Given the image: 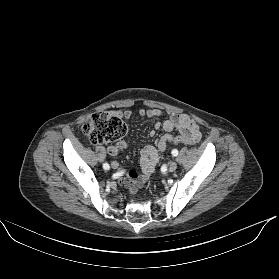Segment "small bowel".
Returning <instances> with one entry per match:
<instances>
[{"label": "small bowel", "mask_w": 279, "mask_h": 279, "mask_svg": "<svg viewBox=\"0 0 279 279\" xmlns=\"http://www.w3.org/2000/svg\"><path fill=\"white\" fill-rule=\"evenodd\" d=\"M118 115L128 120L132 117L133 112L126 109L124 111H119ZM139 115L148 118H159L161 112L154 108H142L139 110ZM159 129H162L164 134L157 140L156 144L148 145L141 151V172L131 170L126 175H123L121 172L119 173L120 183L128 188L131 193H136L137 190L147 182L150 175L155 170L160 155L166 150L167 144L173 143L177 136L187 138L194 143L199 142L201 139V132L198 124L185 114H173L163 123L157 121L150 131V135H155L156 131ZM174 131L178 134L174 135ZM129 144L127 140H120L109 146L108 153L111 156H117L123 149L127 148Z\"/></svg>", "instance_id": "1"}]
</instances>
